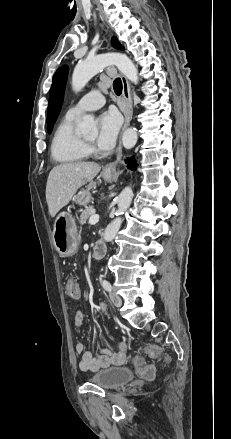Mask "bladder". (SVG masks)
<instances>
[{
	"instance_id": "31cf9c89",
	"label": "bladder",
	"mask_w": 231,
	"mask_h": 439,
	"mask_svg": "<svg viewBox=\"0 0 231 439\" xmlns=\"http://www.w3.org/2000/svg\"><path fill=\"white\" fill-rule=\"evenodd\" d=\"M134 373L127 367H112L92 375L89 381L104 389H116L130 382Z\"/></svg>"
}]
</instances>
